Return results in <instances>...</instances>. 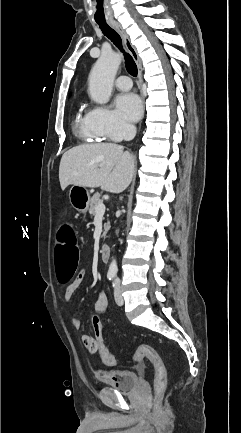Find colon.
I'll return each instance as SVG.
<instances>
[{
  "mask_svg": "<svg viewBox=\"0 0 241 433\" xmlns=\"http://www.w3.org/2000/svg\"><path fill=\"white\" fill-rule=\"evenodd\" d=\"M51 249L53 257H55L57 279L60 283H68L74 270L78 267V244L75 238V227L69 221L64 225H58L57 230H52L51 233ZM101 313L96 312L91 318L90 323L95 333V340L87 342L90 350H96L103 362L108 366L115 364V358L105 346L102 338V329L100 320ZM147 358L151 361L155 369L154 390L157 396L161 395L166 387V368L161 356L151 346L141 345L133 354V360L136 362Z\"/></svg>",
  "mask_w": 241,
  "mask_h": 433,
  "instance_id": "colon-1",
  "label": "colon"
}]
</instances>
